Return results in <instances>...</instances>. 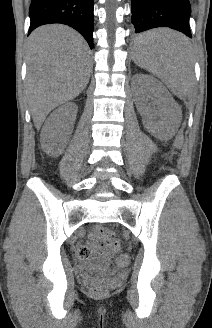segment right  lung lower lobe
<instances>
[{"label":"right lung lower lobe","instance_id":"98d812e1","mask_svg":"<svg viewBox=\"0 0 212 328\" xmlns=\"http://www.w3.org/2000/svg\"><path fill=\"white\" fill-rule=\"evenodd\" d=\"M29 34L49 23L69 25L80 32L93 48V0H32Z\"/></svg>","mask_w":212,"mask_h":328}]
</instances>
